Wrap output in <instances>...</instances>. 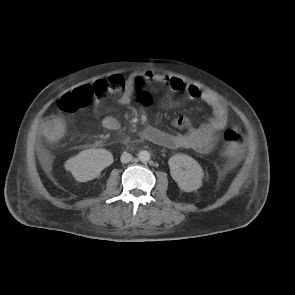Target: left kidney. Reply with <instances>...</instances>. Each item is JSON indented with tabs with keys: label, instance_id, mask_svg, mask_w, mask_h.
Listing matches in <instances>:
<instances>
[{
	"label": "left kidney",
	"instance_id": "1",
	"mask_svg": "<svg viewBox=\"0 0 295 295\" xmlns=\"http://www.w3.org/2000/svg\"><path fill=\"white\" fill-rule=\"evenodd\" d=\"M168 164L170 174L181 190L192 192L202 186L203 169L192 157L185 154H175L169 158Z\"/></svg>",
	"mask_w": 295,
	"mask_h": 295
}]
</instances>
